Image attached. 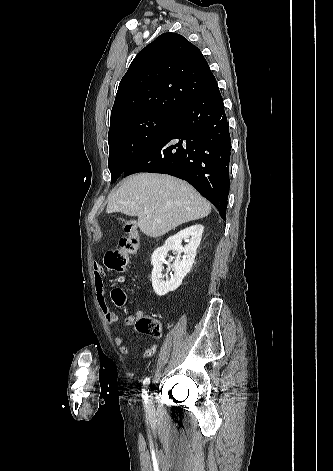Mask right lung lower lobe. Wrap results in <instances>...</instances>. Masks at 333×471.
Masks as SVG:
<instances>
[{
    "label": "right lung lower lobe",
    "mask_w": 333,
    "mask_h": 471,
    "mask_svg": "<svg viewBox=\"0 0 333 471\" xmlns=\"http://www.w3.org/2000/svg\"><path fill=\"white\" fill-rule=\"evenodd\" d=\"M231 142L217 82L193 98L123 176L164 173L186 180L226 217Z\"/></svg>",
    "instance_id": "right-lung-lower-lobe-1"
}]
</instances>
